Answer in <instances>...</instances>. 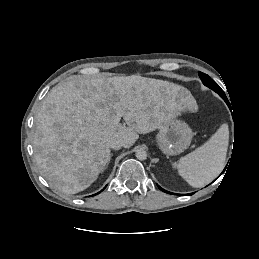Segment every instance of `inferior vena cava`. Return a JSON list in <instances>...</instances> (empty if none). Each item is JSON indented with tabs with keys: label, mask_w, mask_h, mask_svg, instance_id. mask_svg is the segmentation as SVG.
<instances>
[{
	"label": "inferior vena cava",
	"mask_w": 259,
	"mask_h": 259,
	"mask_svg": "<svg viewBox=\"0 0 259 259\" xmlns=\"http://www.w3.org/2000/svg\"><path fill=\"white\" fill-rule=\"evenodd\" d=\"M109 146L114 150H119L124 146V143L120 139H114L110 142Z\"/></svg>",
	"instance_id": "602c4592"
}]
</instances>
